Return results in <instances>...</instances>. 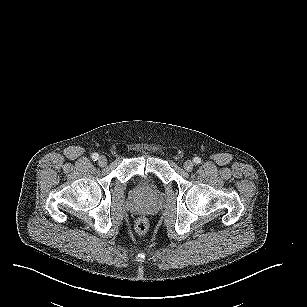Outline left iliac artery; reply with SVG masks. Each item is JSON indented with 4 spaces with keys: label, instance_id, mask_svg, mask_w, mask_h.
<instances>
[{
    "label": "left iliac artery",
    "instance_id": "44dca946",
    "mask_svg": "<svg viewBox=\"0 0 307 307\" xmlns=\"http://www.w3.org/2000/svg\"><path fill=\"white\" fill-rule=\"evenodd\" d=\"M193 161H194L195 164H200L201 163V158L200 157H195L193 159Z\"/></svg>",
    "mask_w": 307,
    "mask_h": 307
}]
</instances>
